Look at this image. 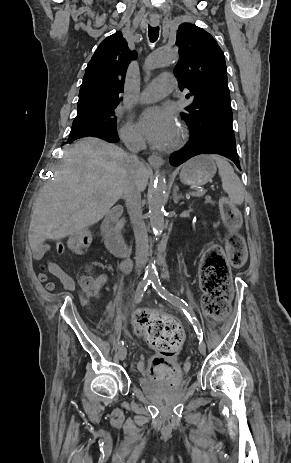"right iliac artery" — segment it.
<instances>
[{
  "instance_id": "right-iliac-artery-1",
  "label": "right iliac artery",
  "mask_w": 291,
  "mask_h": 463,
  "mask_svg": "<svg viewBox=\"0 0 291 463\" xmlns=\"http://www.w3.org/2000/svg\"><path fill=\"white\" fill-rule=\"evenodd\" d=\"M151 278L152 277H147L145 276L141 282L139 283L136 294H135V302L139 303L142 300L143 294L146 291L148 285L151 283ZM124 344V342H119L118 347H121Z\"/></svg>"
}]
</instances>
